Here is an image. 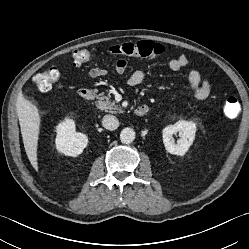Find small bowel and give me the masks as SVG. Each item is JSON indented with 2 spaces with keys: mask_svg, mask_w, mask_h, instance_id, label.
Here are the masks:
<instances>
[{
  "mask_svg": "<svg viewBox=\"0 0 249 249\" xmlns=\"http://www.w3.org/2000/svg\"><path fill=\"white\" fill-rule=\"evenodd\" d=\"M188 64V59L185 55L181 54L178 57L171 59L168 62V68L173 71L177 72L181 70ZM127 62L126 60L120 59L116 63V72L118 74H123L126 71ZM107 71L102 67H93L88 71L89 77L96 79L104 76ZM144 74L141 70H136L132 73L129 77V84L130 85H138L142 82ZM188 81L190 89L193 92V96L197 100L206 99L210 94V83L208 80L204 79L201 74L197 70H191L188 73Z\"/></svg>",
  "mask_w": 249,
  "mask_h": 249,
  "instance_id": "small-bowel-1",
  "label": "small bowel"
}]
</instances>
